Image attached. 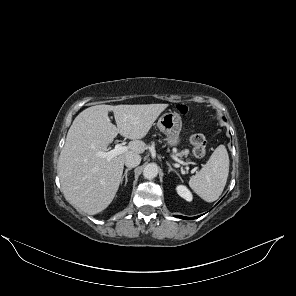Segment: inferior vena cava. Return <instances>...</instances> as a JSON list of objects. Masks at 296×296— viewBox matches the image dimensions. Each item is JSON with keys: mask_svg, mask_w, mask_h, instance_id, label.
Listing matches in <instances>:
<instances>
[{"mask_svg": "<svg viewBox=\"0 0 296 296\" xmlns=\"http://www.w3.org/2000/svg\"><path fill=\"white\" fill-rule=\"evenodd\" d=\"M141 162V156L139 154H130L125 158V165L128 168L136 167Z\"/></svg>", "mask_w": 296, "mask_h": 296, "instance_id": "1", "label": "inferior vena cava"}]
</instances>
